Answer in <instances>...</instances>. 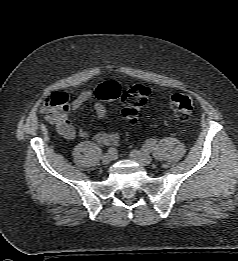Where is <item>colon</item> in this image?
I'll list each match as a JSON object with an SVG mask.
<instances>
[{"instance_id":"5ec220e1","label":"colon","mask_w":238,"mask_h":261,"mask_svg":"<svg viewBox=\"0 0 238 261\" xmlns=\"http://www.w3.org/2000/svg\"><path fill=\"white\" fill-rule=\"evenodd\" d=\"M95 92L97 98L103 102L120 98L124 105L123 115L130 123L138 120L150 97V89L144 85L134 84L122 92L120 85L113 81L99 85ZM170 106L177 118L186 120L193 111V98L188 93H175L171 96ZM68 109V97L61 92L51 94L43 104V111L52 123L67 114Z\"/></svg>"}]
</instances>
